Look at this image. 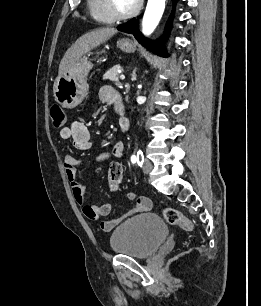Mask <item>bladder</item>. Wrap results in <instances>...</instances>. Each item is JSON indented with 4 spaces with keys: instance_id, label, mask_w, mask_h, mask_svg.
<instances>
[{
    "instance_id": "1",
    "label": "bladder",
    "mask_w": 261,
    "mask_h": 306,
    "mask_svg": "<svg viewBox=\"0 0 261 306\" xmlns=\"http://www.w3.org/2000/svg\"><path fill=\"white\" fill-rule=\"evenodd\" d=\"M168 233L160 216L144 213L120 224L110 236V247L117 254L144 259L158 250Z\"/></svg>"
}]
</instances>
